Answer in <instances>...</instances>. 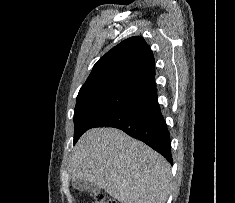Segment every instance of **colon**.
Segmentation results:
<instances>
[{
  "label": "colon",
  "mask_w": 235,
  "mask_h": 203,
  "mask_svg": "<svg viewBox=\"0 0 235 203\" xmlns=\"http://www.w3.org/2000/svg\"><path fill=\"white\" fill-rule=\"evenodd\" d=\"M93 203H118V202L102 192H97L93 195Z\"/></svg>",
  "instance_id": "colon-1"
}]
</instances>
